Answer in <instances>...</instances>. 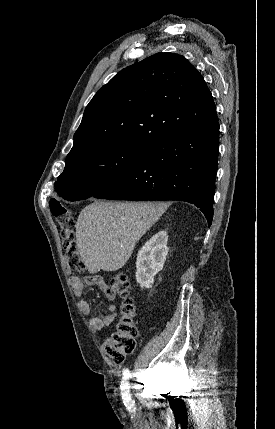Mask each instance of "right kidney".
<instances>
[{
	"label": "right kidney",
	"instance_id": "1",
	"mask_svg": "<svg viewBox=\"0 0 275 429\" xmlns=\"http://www.w3.org/2000/svg\"><path fill=\"white\" fill-rule=\"evenodd\" d=\"M167 241V232L160 231L139 250L136 261V280L141 288H151L155 275L163 269L169 251Z\"/></svg>",
	"mask_w": 275,
	"mask_h": 429
}]
</instances>
